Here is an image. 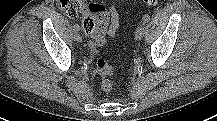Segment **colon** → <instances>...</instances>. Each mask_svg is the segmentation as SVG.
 <instances>
[{
	"label": "colon",
	"mask_w": 217,
	"mask_h": 121,
	"mask_svg": "<svg viewBox=\"0 0 217 121\" xmlns=\"http://www.w3.org/2000/svg\"><path fill=\"white\" fill-rule=\"evenodd\" d=\"M146 5L152 6L159 0H143ZM57 6L65 14L76 16L83 14L82 28L87 34H101L105 31L108 23V14L100 1L89 0H56ZM97 71L101 76V88L109 92L113 88L110 76L113 73L112 67L105 58H98L96 62Z\"/></svg>",
	"instance_id": "5ec220e1"
}]
</instances>
